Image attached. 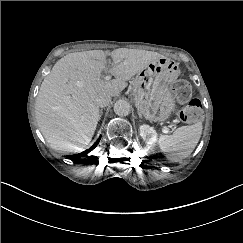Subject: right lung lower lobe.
I'll return each mask as SVG.
<instances>
[{
    "label": "right lung lower lobe",
    "instance_id": "1",
    "mask_svg": "<svg viewBox=\"0 0 243 243\" xmlns=\"http://www.w3.org/2000/svg\"><path fill=\"white\" fill-rule=\"evenodd\" d=\"M100 138L101 137H99V139L95 142V144L90 149H88V150H86V151H84L82 153H79L77 155L67 156V158L68 159L77 160V161H84V160H81L80 158L86 156L90 151H92L98 145V143L100 141Z\"/></svg>",
    "mask_w": 243,
    "mask_h": 243
}]
</instances>
